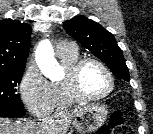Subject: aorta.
Here are the masks:
<instances>
[{"label":"aorta","instance_id":"aorta-1","mask_svg":"<svg viewBox=\"0 0 153 134\" xmlns=\"http://www.w3.org/2000/svg\"><path fill=\"white\" fill-rule=\"evenodd\" d=\"M36 63L42 74L47 78H53L60 66L54 58L52 44L48 40L41 41L36 49Z\"/></svg>","mask_w":153,"mask_h":134}]
</instances>
